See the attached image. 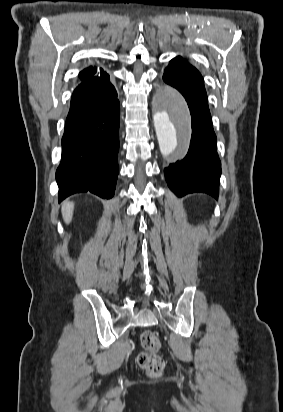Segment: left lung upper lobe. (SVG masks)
<instances>
[{"label":"left lung upper lobe","mask_w":283,"mask_h":412,"mask_svg":"<svg viewBox=\"0 0 283 412\" xmlns=\"http://www.w3.org/2000/svg\"><path fill=\"white\" fill-rule=\"evenodd\" d=\"M196 74L200 75L198 70L190 65L185 59L178 56L172 59L165 69L164 74H176V73ZM201 76V75H200Z\"/></svg>","instance_id":"1"}]
</instances>
